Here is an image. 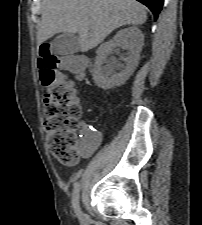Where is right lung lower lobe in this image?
<instances>
[{
	"label": "right lung lower lobe",
	"mask_w": 202,
	"mask_h": 225,
	"mask_svg": "<svg viewBox=\"0 0 202 225\" xmlns=\"http://www.w3.org/2000/svg\"><path fill=\"white\" fill-rule=\"evenodd\" d=\"M137 1L146 5L154 14V18L157 19L158 15L162 9L164 0H137Z\"/></svg>",
	"instance_id": "1"
}]
</instances>
